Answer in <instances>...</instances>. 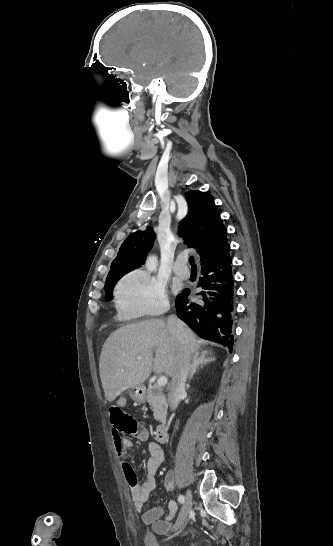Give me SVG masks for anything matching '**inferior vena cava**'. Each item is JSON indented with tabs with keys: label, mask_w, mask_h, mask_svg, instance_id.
<instances>
[{
	"label": "inferior vena cava",
	"mask_w": 333,
	"mask_h": 546,
	"mask_svg": "<svg viewBox=\"0 0 333 546\" xmlns=\"http://www.w3.org/2000/svg\"><path fill=\"white\" fill-rule=\"evenodd\" d=\"M167 329L178 343V363L169 385L168 402L175 410L185 394V383L191 370V354L188 347V336L183 323L175 316L167 319Z\"/></svg>",
	"instance_id": "obj_1"
}]
</instances>
